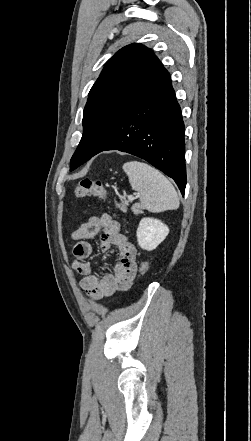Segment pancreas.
<instances>
[{"label":"pancreas","instance_id":"obj_1","mask_svg":"<svg viewBox=\"0 0 251 441\" xmlns=\"http://www.w3.org/2000/svg\"><path fill=\"white\" fill-rule=\"evenodd\" d=\"M117 206H118V208H119L121 211L126 212V210H127V206H128V203L122 201L120 204H117ZM131 210H132V212H133L134 214H141V213H143V211H142L143 208H142V206H141L140 204H138V203H135L134 205H132Z\"/></svg>","mask_w":251,"mask_h":441}]
</instances>
